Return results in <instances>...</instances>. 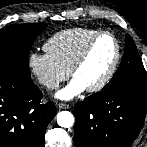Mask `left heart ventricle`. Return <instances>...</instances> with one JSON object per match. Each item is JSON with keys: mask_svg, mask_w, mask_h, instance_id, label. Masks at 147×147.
Instances as JSON below:
<instances>
[{"mask_svg": "<svg viewBox=\"0 0 147 147\" xmlns=\"http://www.w3.org/2000/svg\"><path fill=\"white\" fill-rule=\"evenodd\" d=\"M115 56V44L110 36L100 37L92 46L83 65L76 71L74 78L86 88L97 84L108 72Z\"/></svg>", "mask_w": 147, "mask_h": 147, "instance_id": "left-heart-ventricle-1", "label": "left heart ventricle"}]
</instances>
